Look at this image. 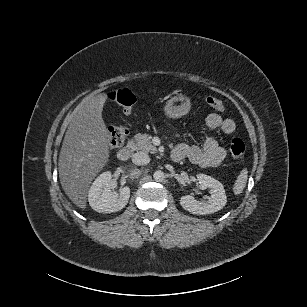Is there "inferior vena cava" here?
Masks as SVG:
<instances>
[{"instance_id":"602c4592","label":"inferior vena cava","mask_w":307,"mask_h":307,"mask_svg":"<svg viewBox=\"0 0 307 307\" xmlns=\"http://www.w3.org/2000/svg\"><path fill=\"white\" fill-rule=\"evenodd\" d=\"M132 162L135 164V165H146L150 162V158L148 155H146L145 153L143 152H137L135 154H133L132 156Z\"/></svg>"}]
</instances>
